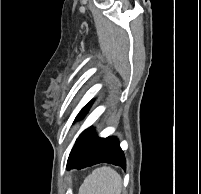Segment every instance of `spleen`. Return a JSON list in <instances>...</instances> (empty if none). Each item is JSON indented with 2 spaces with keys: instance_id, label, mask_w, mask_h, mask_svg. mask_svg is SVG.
Returning <instances> with one entry per match:
<instances>
[{
  "instance_id": "spleen-1",
  "label": "spleen",
  "mask_w": 201,
  "mask_h": 194,
  "mask_svg": "<svg viewBox=\"0 0 201 194\" xmlns=\"http://www.w3.org/2000/svg\"><path fill=\"white\" fill-rule=\"evenodd\" d=\"M121 190V176L110 167H101L84 179L78 194H121Z\"/></svg>"
}]
</instances>
